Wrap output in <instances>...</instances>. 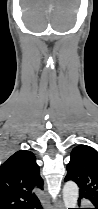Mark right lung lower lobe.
Wrapping results in <instances>:
<instances>
[{
  "instance_id": "right-lung-lower-lobe-1",
  "label": "right lung lower lobe",
  "mask_w": 98,
  "mask_h": 209,
  "mask_svg": "<svg viewBox=\"0 0 98 209\" xmlns=\"http://www.w3.org/2000/svg\"><path fill=\"white\" fill-rule=\"evenodd\" d=\"M39 206H40V202L38 200L36 203H34L33 205L29 206L27 209H34V208L39 207Z\"/></svg>"
}]
</instances>
